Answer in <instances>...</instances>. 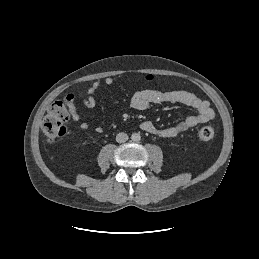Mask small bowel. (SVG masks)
<instances>
[{"mask_svg":"<svg viewBox=\"0 0 259 259\" xmlns=\"http://www.w3.org/2000/svg\"><path fill=\"white\" fill-rule=\"evenodd\" d=\"M105 85L111 86L114 84V80L108 77L104 81ZM100 82H94L88 89V95L83 99V103L88 108H93L96 105L95 94L99 90ZM163 103H179L196 110L195 114L187 116L183 121L171 125L165 128H159L150 121H144L140 124V128L148 133L158 135L163 138H173L186 130L193 128L199 124L211 121L215 114L208 101L201 99L197 95L185 91V90H141L136 92L131 99V105L136 110H146L152 104ZM71 115L75 122H80V116L75 110V107L71 108ZM80 127L83 130L89 128L88 123L80 122ZM97 132H101L102 128L97 127Z\"/></svg>","mask_w":259,"mask_h":259,"instance_id":"obj_1","label":"small bowel"}]
</instances>
